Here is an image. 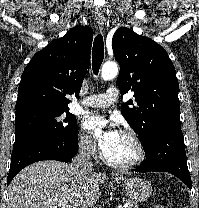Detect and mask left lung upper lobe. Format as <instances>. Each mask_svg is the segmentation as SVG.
<instances>
[{
	"instance_id": "obj_1",
	"label": "left lung upper lobe",
	"mask_w": 199,
	"mask_h": 208,
	"mask_svg": "<svg viewBox=\"0 0 199 208\" xmlns=\"http://www.w3.org/2000/svg\"><path fill=\"white\" fill-rule=\"evenodd\" d=\"M112 48L121 94L132 90L135 98L122 105L123 116L144 147L157 130L180 125L175 68L164 48L126 27L116 30Z\"/></svg>"
}]
</instances>
